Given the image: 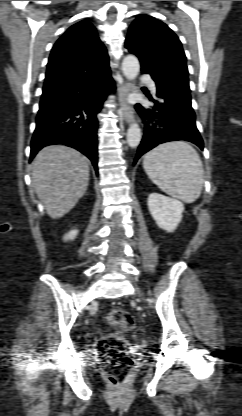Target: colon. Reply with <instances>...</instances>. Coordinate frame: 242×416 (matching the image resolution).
<instances>
[{
    "instance_id": "colon-1",
    "label": "colon",
    "mask_w": 242,
    "mask_h": 416,
    "mask_svg": "<svg viewBox=\"0 0 242 416\" xmlns=\"http://www.w3.org/2000/svg\"><path fill=\"white\" fill-rule=\"evenodd\" d=\"M112 332L99 338L96 348L104 371L112 384L123 382L134 367V357L125 336L134 328L132 315L124 309H114L107 316Z\"/></svg>"
}]
</instances>
